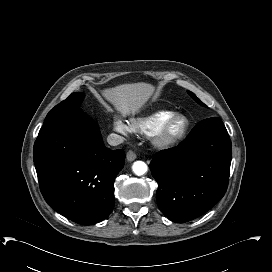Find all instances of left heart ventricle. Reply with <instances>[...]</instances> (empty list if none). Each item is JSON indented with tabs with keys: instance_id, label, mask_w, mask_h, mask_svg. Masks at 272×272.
Here are the masks:
<instances>
[{
	"instance_id": "b2bd125f",
	"label": "left heart ventricle",
	"mask_w": 272,
	"mask_h": 272,
	"mask_svg": "<svg viewBox=\"0 0 272 272\" xmlns=\"http://www.w3.org/2000/svg\"><path fill=\"white\" fill-rule=\"evenodd\" d=\"M181 126H182V123L178 122V123L175 124L174 129L178 130Z\"/></svg>"
}]
</instances>
